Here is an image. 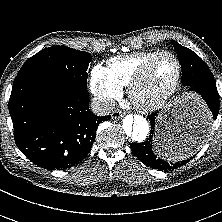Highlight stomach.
Here are the masks:
<instances>
[{
    "mask_svg": "<svg viewBox=\"0 0 222 222\" xmlns=\"http://www.w3.org/2000/svg\"><path fill=\"white\" fill-rule=\"evenodd\" d=\"M204 104L194 95L187 94L170 102L158 118L156 144L162 153L171 157L187 156L175 149V139L194 121L208 118Z\"/></svg>",
    "mask_w": 222,
    "mask_h": 222,
    "instance_id": "1",
    "label": "stomach"
}]
</instances>
